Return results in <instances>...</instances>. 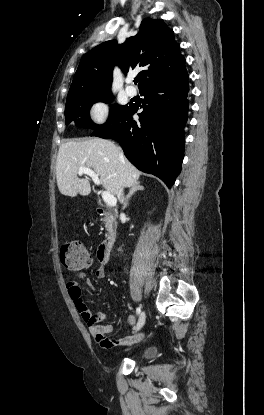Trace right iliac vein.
<instances>
[{"mask_svg":"<svg viewBox=\"0 0 264 415\" xmlns=\"http://www.w3.org/2000/svg\"><path fill=\"white\" fill-rule=\"evenodd\" d=\"M145 321H146V314L145 312H142L138 319L137 325L135 327V332H137L143 327V325L145 324Z\"/></svg>","mask_w":264,"mask_h":415,"instance_id":"obj_1","label":"right iliac vein"}]
</instances>
